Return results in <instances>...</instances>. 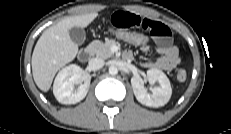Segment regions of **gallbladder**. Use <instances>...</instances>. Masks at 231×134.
<instances>
[{
	"label": "gallbladder",
	"mask_w": 231,
	"mask_h": 134,
	"mask_svg": "<svg viewBox=\"0 0 231 134\" xmlns=\"http://www.w3.org/2000/svg\"><path fill=\"white\" fill-rule=\"evenodd\" d=\"M69 35L77 45H82L85 41V31L81 27H72L69 29Z\"/></svg>",
	"instance_id": "bac80fb5"
}]
</instances>
